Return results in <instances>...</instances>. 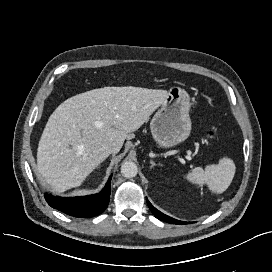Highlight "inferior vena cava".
I'll return each mask as SVG.
<instances>
[{
  "label": "inferior vena cava",
  "mask_w": 272,
  "mask_h": 272,
  "mask_svg": "<svg viewBox=\"0 0 272 272\" xmlns=\"http://www.w3.org/2000/svg\"><path fill=\"white\" fill-rule=\"evenodd\" d=\"M103 149L108 153V154H111V153H116L118 151L115 143H112V142H107V143H104L103 144Z\"/></svg>",
  "instance_id": "1"
}]
</instances>
